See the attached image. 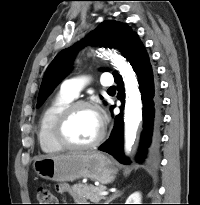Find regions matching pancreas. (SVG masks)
<instances>
[{
  "instance_id": "pancreas-1",
  "label": "pancreas",
  "mask_w": 200,
  "mask_h": 205,
  "mask_svg": "<svg viewBox=\"0 0 200 205\" xmlns=\"http://www.w3.org/2000/svg\"><path fill=\"white\" fill-rule=\"evenodd\" d=\"M106 189L105 186H94L92 184H81L77 183L72 186L70 192L71 196L75 201H87L98 203L102 199H105L104 196L100 195L101 191Z\"/></svg>"
}]
</instances>
